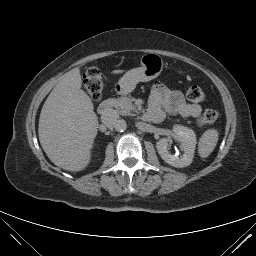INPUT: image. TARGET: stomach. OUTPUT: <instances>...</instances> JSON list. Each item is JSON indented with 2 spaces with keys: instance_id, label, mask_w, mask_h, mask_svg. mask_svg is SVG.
<instances>
[{
  "instance_id": "1",
  "label": "stomach",
  "mask_w": 256,
  "mask_h": 256,
  "mask_svg": "<svg viewBox=\"0 0 256 256\" xmlns=\"http://www.w3.org/2000/svg\"><path fill=\"white\" fill-rule=\"evenodd\" d=\"M141 67L127 71L115 85L118 94L131 93L139 82H147L158 77L163 70L162 58L154 53H147L141 57Z\"/></svg>"
}]
</instances>
